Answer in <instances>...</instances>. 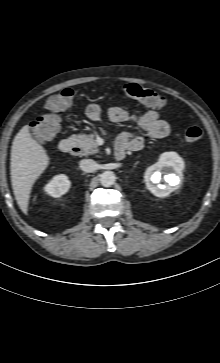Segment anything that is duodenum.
<instances>
[{
    "instance_id": "1",
    "label": "duodenum",
    "mask_w": 220,
    "mask_h": 363,
    "mask_svg": "<svg viewBox=\"0 0 220 363\" xmlns=\"http://www.w3.org/2000/svg\"><path fill=\"white\" fill-rule=\"evenodd\" d=\"M59 149L65 154H75L79 151L78 144L74 138L63 139L59 144ZM125 156L126 153L123 147H117L115 149V157L117 160H123Z\"/></svg>"
}]
</instances>
